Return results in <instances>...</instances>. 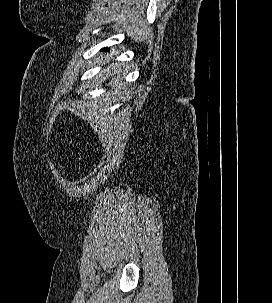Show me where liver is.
Segmentation results:
<instances>
[{
  "instance_id": "6515ba94",
  "label": "liver",
  "mask_w": 272,
  "mask_h": 303,
  "mask_svg": "<svg viewBox=\"0 0 272 303\" xmlns=\"http://www.w3.org/2000/svg\"><path fill=\"white\" fill-rule=\"evenodd\" d=\"M109 69H112L113 71H117L119 69V66L113 65V66H110Z\"/></svg>"
}]
</instances>
